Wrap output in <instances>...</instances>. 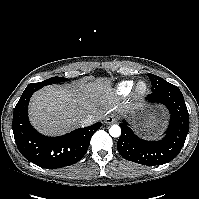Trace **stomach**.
<instances>
[{
  "mask_svg": "<svg viewBox=\"0 0 199 199\" xmlns=\"http://www.w3.org/2000/svg\"><path fill=\"white\" fill-rule=\"evenodd\" d=\"M131 120L135 130L144 136L159 133L165 123L160 111L147 107L137 109Z\"/></svg>",
  "mask_w": 199,
  "mask_h": 199,
  "instance_id": "1",
  "label": "stomach"
}]
</instances>
